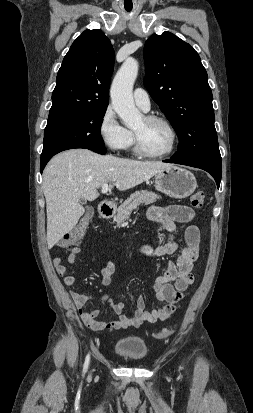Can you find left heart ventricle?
<instances>
[{"mask_svg": "<svg viewBox=\"0 0 253 413\" xmlns=\"http://www.w3.org/2000/svg\"><path fill=\"white\" fill-rule=\"evenodd\" d=\"M133 130L140 136L144 148L151 153L164 152L170 146V131L162 123L147 122L143 117Z\"/></svg>", "mask_w": 253, "mask_h": 413, "instance_id": "obj_1", "label": "left heart ventricle"}]
</instances>
